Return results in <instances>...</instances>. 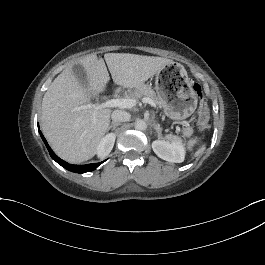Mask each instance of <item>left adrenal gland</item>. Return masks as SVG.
Here are the masks:
<instances>
[{
    "mask_svg": "<svg viewBox=\"0 0 265 265\" xmlns=\"http://www.w3.org/2000/svg\"><path fill=\"white\" fill-rule=\"evenodd\" d=\"M155 130L157 131L158 137L160 138L161 137L162 128L160 127L159 124L156 125Z\"/></svg>",
    "mask_w": 265,
    "mask_h": 265,
    "instance_id": "a2214340",
    "label": "left adrenal gland"
}]
</instances>
